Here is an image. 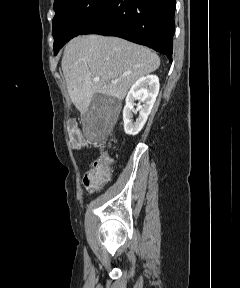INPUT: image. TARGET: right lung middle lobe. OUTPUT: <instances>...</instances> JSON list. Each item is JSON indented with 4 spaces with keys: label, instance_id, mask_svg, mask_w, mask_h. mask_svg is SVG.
Instances as JSON below:
<instances>
[{
    "label": "right lung middle lobe",
    "instance_id": "1",
    "mask_svg": "<svg viewBox=\"0 0 240 288\" xmlns=\"http://www.w3.org/2000/svg\"><path fill=\"white\" fill-rule=\"evenodd\" d=\"M112 0H55L54 53L95 19Z\"/></svg>",
    "mask_w": 240,
    "mask_h": 288
}]
</instances>
